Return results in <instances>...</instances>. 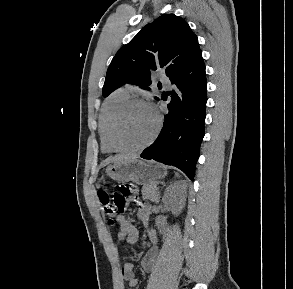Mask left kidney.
<instances>
[{"instance_id":"5707ae66","label":"left kidney","mask_w":293,"mask_h":289,"mask_svg":"<svg viewBox=\"0 0 293 289\" xmlns=\"http://www.w3.org/2000/svg\"><path fill=\"white\" fill-rule=\"evenodd\" d=\"M186 187V181L180 180L167 187L164 193L162 201L175 215H178L185 205Z\"/></svg>"}]
</instances>
